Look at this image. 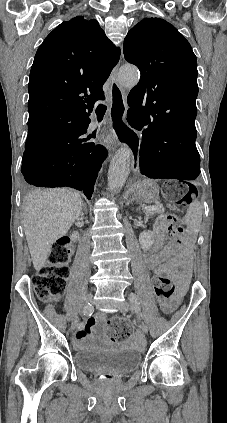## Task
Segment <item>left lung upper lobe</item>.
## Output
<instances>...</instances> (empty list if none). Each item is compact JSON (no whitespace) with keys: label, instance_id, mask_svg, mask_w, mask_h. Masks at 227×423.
Segmentation results:
<instances>
[{"label":"left lung upper lobe","instance_id":"5c2ea615","mask_svg":"<svg viewBox=\"0 0 227 423\" xmlns=\"http://www.w3.org/2000/svg\"><path fill=\"white\" fill-rule=\"evenodd\" d=\"M125 59L141 71L128 95L133 109L197 114V60L189 42L160 18L136 24L124 40Z\"/></svg>","mask_w":227,"mask_h":423}]
</instances>
